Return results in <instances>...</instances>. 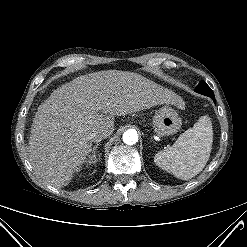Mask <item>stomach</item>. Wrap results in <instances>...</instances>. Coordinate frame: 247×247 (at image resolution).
<instances>
[{
    "label": "stomach",
    "mask_w": 247,
    "mask_h": 247,
    "mask_svg": "<svg viewBox=\"0 0 247 247\" xmlns=\"http://www.w3.org/2000/svg\"><path fill=\"white\" fill-rule=\"evenodd\" d=\"M182 121L177 112L168 105L160 108L153 118V129L159 137L173 135L181 128Z\"/></svg>",
    "instance_id": "stomach-1"
}]
</instances>
